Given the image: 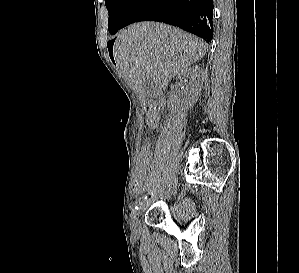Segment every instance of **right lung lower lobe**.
Listing matches in <instances>:
<instances>
[{
	"label": "right lung lower lobe",
	"mask_w": 299,
	"mask_h": 273,
	"mask_svg": "<svg viewBox=\"0 0 299 273\" xmlns=\"http://www.w3.org/2000/svg\"><path fill=\"white\" fill-rule=\"evenodd\" d=\"M213 0H134L120 29L134 22L153 20L177 26L203 38L213 37Z\"/></svg>",
	"instance_id": "obj_1"
}]
</instances>
